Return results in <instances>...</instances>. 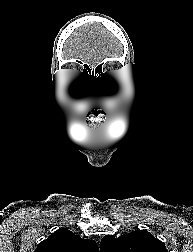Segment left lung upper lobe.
<instances>
[{"label":"left lung upper lobe","mask_w":193,"mask_h":252,"mask_svg":"<svg viewBox=\"0 0 193 252\" xmlns=\"http://www.w3.org/2000/svg\"><path fill=\"white\" fill-rule=\"evenodd\" d=\"M100 252H168L165 244L146 230H136L128 235L114 238L105 236Z\"/></svg>","instance_id":"1"}]
</instances>
